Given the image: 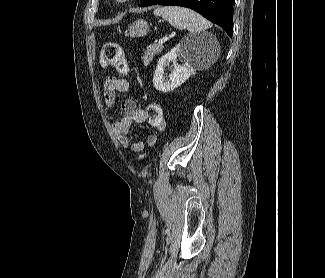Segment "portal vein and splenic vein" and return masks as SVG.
I'll return each instance as SVG.
<instances>
[{"label":"portal vein and splenic vein","mask_w":325,"mask_h":278,"mask_svg":"<svg viewBox=\"0 0 325 278\" xmlns=\"http://www.w3.org/2000/svg\"><path fill=\"white\" fill-rule=\"evenodd\" d=\"M169 38L167 36H163L162 38L159 39L158 44L162 45L165 43Z\"/></svg>","instance_id":"18ae733b"}]
</instances>
